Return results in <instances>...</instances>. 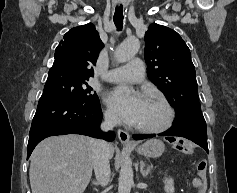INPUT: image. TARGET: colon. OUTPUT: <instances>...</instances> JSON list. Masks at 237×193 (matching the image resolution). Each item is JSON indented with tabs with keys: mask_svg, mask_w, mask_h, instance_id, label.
Listing matches in <instances>:
<instances>
[{
	"mask_svg": "<svg viewBox=\"0 0 237 193\" xmlns=\"http://www.w3.org/2000/svg\"><path fill=\"white\" fill-rule=\"evenodd\" d=\"M169 143L178 152L190 154L193 151L192 143L183 138H180V137L170 138ZM196 170H197V176L201 181L200 190H201V193H203L206 188V172H207L206 160L204 159L199 160L196 165Z\"/></svg>",
	"mask_w": 237,
	"mask_h": 193,
	"instance_id": "1",
	"label": "colon"
}]
</instances>
